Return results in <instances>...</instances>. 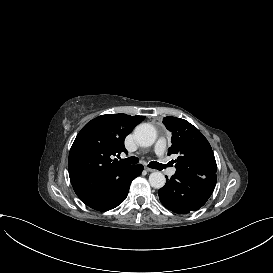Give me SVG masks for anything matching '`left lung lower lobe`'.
<instances>
[{"instance_id":"0a47b994","label":"left lung lower lobe","mask_w":273,"mask_h":273,"mask_svg":"<svg viewBox=\"0 0 273 273\" xmlns=\"http://www.w3.org/2000/svg\"><path fill=\"white\" fill-rule=\"evenodd\" d=\"M216 180V175L200 177L176 172L159 189V199L167 209L178 214L196 211L211 196Z\"/></svg>"}]
</instances>
